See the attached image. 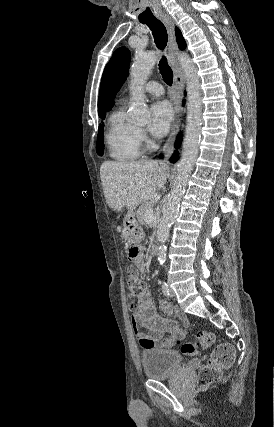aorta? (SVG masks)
Segmentation results:
<instances>
[{"label":"aorta","instance_id":"762f6f07","mask_svg":"<svg viewBox=\"0 0 274 427\" xmlns=\"http://www.w3.org/2000/svg\"><path fill=\"white\" fill-rule=\"evenodd\" d=\"M178 59L186 78L187 119L181 159L177 164V175L157 229V239L160 243L158 248L160 265H163L167 259L165 243L169 238L170 227L177 217L180 200L185 192L188 178L198 155L202 128V95L197 68L185 53L180 54ZM156 61L157 54L154 51L139 53L131 67L130 91L133 95V102L130 114L134 120L139 122L148 118V107L144 103L143 85Z\"/></svg>","mask_w":274,"mask_h":427}]
</instances>
